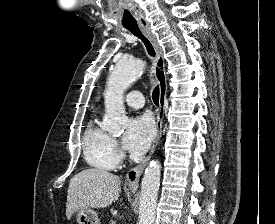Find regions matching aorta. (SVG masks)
I'll use <instances>...</instances> for the list:
<instances>
[{
  "instance_id": "obj_1",
  "label": "aorta",
  "mask_w": 275,
  "mask_h": 224,
  "mask_svg": "<svg viewBox=\"0 0 275 224\" xmlns=\"http://www.w3.org/2000/svg\"><path fill=\"white\" fill-rule=\"evenodd\" d=\"M144 62L139 59L120 60L113 68L105 92V116L102 128L118 134L127 126L128 119L123 103V95L144 70ZM161 164L150 162L141 182L138 224H154L157 196L160 185Z\"/></svg>"
}]
</instances>
